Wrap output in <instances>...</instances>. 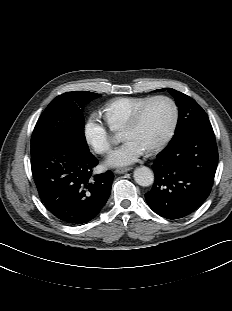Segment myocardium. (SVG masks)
Returning a JSON list of instances; mask_svg holds the SVG:
<instances>
[{"label":"myocardium","mask_w":232,"mask_h":311,"mask_svg":"<svg viewBox=\"0 0 232 311\" xmlns=\"http://www.w3.org/2000/svg\"><path fill=\"white\" fill-rule=\"evenodd\" d=\"M159 100L167 101L170 104L172 108V120L163 138L157 144L147 149V152L149 153H154V152H157L163 149L167 145V143L170 141V139L172 138L175 132V129L178 123L179 111H178L177 104L172 98L165 96V95H157V96H153L149 98L147 101H145L141 106L137 108V110L133 113V115L131 116V118L129 119V121L126 123V125L123 128V131H127V130H131L134 127H136L141 121L147 108L153 102L159 101Z\"/></svg>","instance_id":"myocardium-1"}]
</instances>
